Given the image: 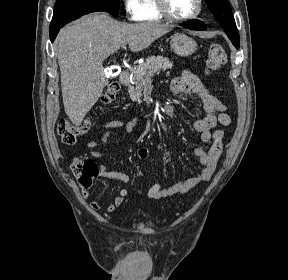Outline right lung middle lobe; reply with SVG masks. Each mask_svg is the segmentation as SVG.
Masks as SVG:
<instances>
[{"mask_svg": "<svg viewBox=\"0 0 288 280\" xmlns=\"http://www.w3.org/2000/svg\"><path fill=\"white\" fill-rule=\"evenodd\" d=\"M85 4L101 6L108 12L118 16L119 0H57L53 15H56L68 8Z\"/></svg>", "mask_w": 288, "mask_h": 280, "instance_id": "1", "label": "right lung middle lobe"}]
</instances>
